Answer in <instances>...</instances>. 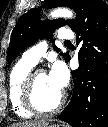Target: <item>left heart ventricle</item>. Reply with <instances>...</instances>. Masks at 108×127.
Here are the masks:
<instances>
[{
    "label": "left heart ventricle",
    "mask_w": 108,
    "mask_h": 127,
    "mask_svg": "<svg viewBox=\"0 0 108 127\" xmlns=\"http://www.w3.org/2000/svg\"><path fill=\"white\" fill-rule=\"evenodd\" d=\"M61 95L51 83L48 74L38 75L35 83V99L43 109H49L55 105Z\"/></svg>",
    "instance_id": "left-heart-ventricle-1"
}]
</instances>
